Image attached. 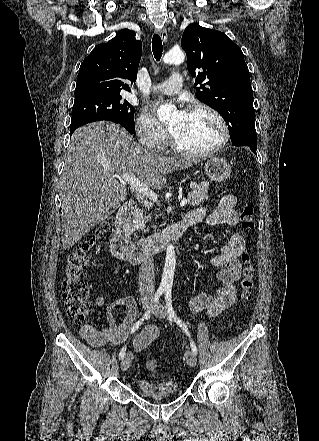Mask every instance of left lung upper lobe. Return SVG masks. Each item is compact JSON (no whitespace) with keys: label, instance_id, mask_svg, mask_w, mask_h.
<instances>
[{"label":"left lung upper lobe","instance_id":"left-lung-upper-lobe-1","mask_svg":"<svg viewBox=\"0 0 319 441\" xmlns=\"http://www.w3.org/2000/svg\"><path fill=\"white\" fill-rule=\"evenodd\" d=\"M181 46L195 77L197 98L227 122L232 144L257 147L249 70L238 45L224 33L190 24Z\"/></svg>","mask_w":319,"mask_h":441}]
</instances>
